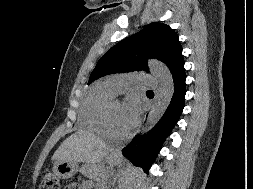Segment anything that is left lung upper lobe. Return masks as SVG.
Wrapping results in <instances>:
<instances>
[{"mask_svg": "<svg viewBox=\"0 0 253 189\" xmlns=\"http://www.w3.org/2000/svg\"><path fill=\"white\" fill-rule=\"evenodd\" d=\"M149 58L162 61L172 73L184 62L178 35L170 26L151 23L117 43L100 58L88 84L108 74L147 69Z\"/></svg>", "mask_w": 253, "mask_h": 189, "instance_id": "obj_1", "label": "left lung upper lobe"}]
</instances>
